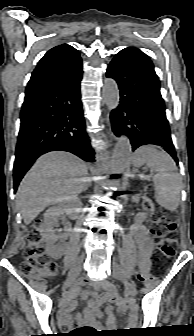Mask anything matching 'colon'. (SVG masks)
<instances>
[{
	"label": "colon",
	"mask_w": 194,
	"mask_h": 336,
	"mask_svg": "<svg viewBox=\"0 0 194 336\" xmlns=\"http://www.w3.org/2000/svg\"><path fill=\"white\" fill-rule=\"evenodd\" d=\"M176 227L174 216L170 211L158 210L156 222L151 230L158 244L157 251L154 254L155 263L176 254ZM20 270L23 275L39 282H44L46 279L56 276L59 271L58 264L49 260L45 254L44 245L37 228L31 229L28 233V244L20 264ZM151 281V277L144 278L145 283ZM118 304L121 308H125L129 305V301L119 300Z\"/></svg>",
	"instance_id": "1"
}]
</instances>
